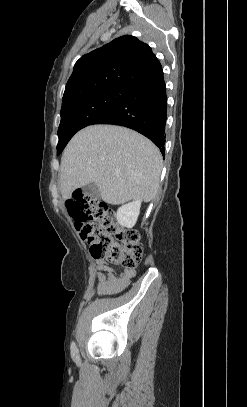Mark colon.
Masks as SVG:
<instances>
[{
  "label": "colon",
  "instance_id": "colon-1",
  "mask_svg": "<svg viewBox=\"0 0 247 407\" xmlns=\"http://www.w3.org/2000/svg\"><path fill=\"white\" fill-rule=\"evenodd\" d=\"M66 207L94 258H104L125 269L137 267L143 256L140 234L119 226L105 202L77 193Z\"/></svg>",
  "mask_w": 247,
  "mask_h": 407
}]
</instances>
